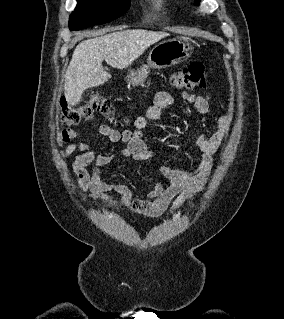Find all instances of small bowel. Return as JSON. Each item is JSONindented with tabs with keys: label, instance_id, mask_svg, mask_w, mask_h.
Masks as SVG:
<instances>
[{
	"label": "small bowel",
	"instance_id": "small-bowel-1",
	"mask_svg": "<svg viewBox=\"0 0 284 319\" xmlns=\"http://www.w3.org/2000/svg\"><path fill=\"white\" fill-rule=\"evenodd\" d=\"M183 98L190 102L198 114L209 112L207 98L183 93ZM174 103V97L167 91H159L154 97L152 106L145 117H138L134 122V129L119 132L107 125H100L98 133L107 137L111 142H123L126 146L118 153L121 157L132 158L137 161L152 160L157 156L150 150L143 140V131L149 121L162 119L165 110ZM231 127L229 117L218 120V128L211 134H199L193 143L200 150V157L193 169H180L171 165L160 167V173L167 183L157 182L146 190L147 199L133 197L131 189L120 182H108L103 178V167L110 163L114 154H96L85 142H73L76 131L64 130L60 134V141L67 143L63 157L69 158L78 153L72 163V169L77 175V186L92 204L100 207H123L131 212L156 218L164 214L177 211L183 204L191 205L194 196L201 192L211 174L213 155L220 148ZM91 169L88 170V167ZM116 191L120 199L114 200L107 191Z\"/></svg>",
	"mask_w": 284,
	"mask_h": 319
}]
</instances>
